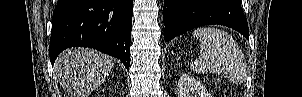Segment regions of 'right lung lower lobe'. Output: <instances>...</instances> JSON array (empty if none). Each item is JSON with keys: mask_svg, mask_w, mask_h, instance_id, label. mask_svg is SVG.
<instances>
[{"mask_svg": "<svg viewBox=\"0 0 302 97\" xmlns=\"http://www.w3.org/2000/svg\"><path fill=\"white\" fill-rule=\"evenodd\" d=\"M132 0H58L50 61L69 47H90L120 59L129 70Z\"/></svg>", "mask_w": 302, "mask_h": 97, "instance_id": "obj_1", "label": "right lung lower lobe"}]
</instances>
